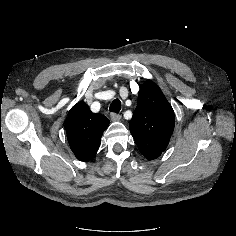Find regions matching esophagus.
Wrapping results in <instances>:
<instances>
[{
	"instance_id": "esophagus-1",
	"label": "esophagus",
	"mask_w": 236,
	"mask_h": 236,
	"mask_svg": "<svg viewBox=\"0 0 236 236\" xmlns=\"http://www.w3.org/2000/svg\"><path fill=\"white\" fill-rule=\"evenodd\" d=\"M110 117H111L112 121H120V119H121V115H119L117 113H111Z\"/></svg>"
}]
</instances>
